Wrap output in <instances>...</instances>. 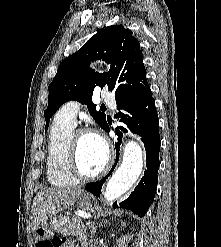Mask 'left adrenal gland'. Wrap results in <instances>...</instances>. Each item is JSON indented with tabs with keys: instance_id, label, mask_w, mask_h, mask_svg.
Returning a JSON list of instances; mask_svg holds the SVG:
<instances>
[{
	"instance_id": "1",
	"label": "left adrenal gland",
	"mask_w": 221,
	"mask_h": 247,
	"mask_svg": "<svg viewBox=\"0 0 221 247\" xmlns=\"http://www.w3.org/2000/svg\"><path fill=\"white\" fill-rule=\"evenodd\" d=\"M103 222H100L99 224L96 222H89V229H90V238H93L96 234L97 228L102 226Z\"/></svg>"
}]
</instances>
